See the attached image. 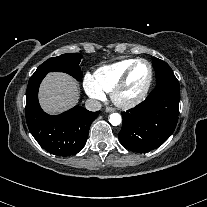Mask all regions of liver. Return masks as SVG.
Instances as JSON below:
<instances>
[{"label":"liver","mask_w":207,"mask_h":207,"mask_svg":"<svg viewBox=\"0 0 207 207\" xmlns=\"http://www.w3.org/2000/svg\"><path fill=\"white\" fill-rule=\"evenodd\" d=\"M79 87L68 74L48 73L41 83L39 102L42 109L49 114H59L78 103Z\"/></svg>","instance_id":"1"}]
</instances>
